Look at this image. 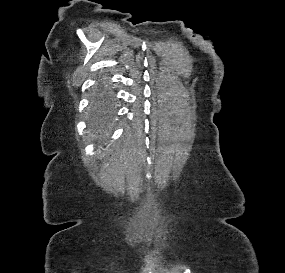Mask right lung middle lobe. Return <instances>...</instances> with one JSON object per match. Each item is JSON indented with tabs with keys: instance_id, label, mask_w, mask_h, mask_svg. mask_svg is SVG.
<instances>
[{
	"instance_id": "1",
	"label": "right lung middle lobe",
	"mask_w": 285,
	"mask_h": 273,
	"mask_svg": "<svg viewBox=\"0 0 285 273\" xmlns=\"http://www.w3.org/2000/svg\"><path fill=\"white\" fill-rule=\"evenodd\" d=\"M110 93L106 88L99 87L93 96L94 107V125L103 126L111 116V109L109 106Z\"/></svg>"
}]
</instances>
